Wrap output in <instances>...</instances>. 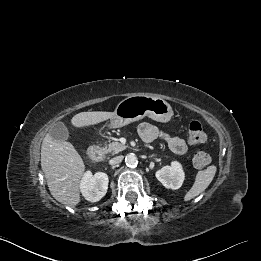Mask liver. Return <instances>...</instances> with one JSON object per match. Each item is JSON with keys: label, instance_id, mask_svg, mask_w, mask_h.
Wrapping results in <instances>:
<instances>
[{"label": "liver", "instance_id": "liver-1", "mask_svg": "<svg viewBox=\"0 0 261 261\" xmlns=\"http://www.w3.org/2000/svg\"><path fill=\"white\" fill-rule=\"evenodd\" d=\"M113 116L114 112H81L71 119V123L76 128H82ZM41 168L50 193L57 201L72 207L79 204L85 165L71 143L54 140L49 133L46 134L41 146Z\"/></svg>", "mask_w": 261, "mask_h": 261}]
</instances>
